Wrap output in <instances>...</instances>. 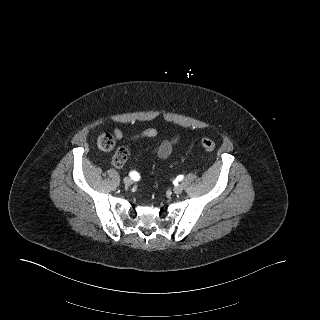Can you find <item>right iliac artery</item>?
Returning a JSON list of instances; mask_svg holds the SVG:
<instances>
[{
  "label": "right iliac artery",
  "instance_id": "right-iliac-artery-1",
  "mask_svg": "<svg viewBox=\"0 0 320 320\" xmlns=\"http://www.w3.org/2000/svg\"><path fill=\"white\" fill-rule=\"evenodd\" d=\"M130 177L133 178V179H137L138 178L137 172H131L130 173Z\"/></svg>",
  "mask_w": 320,
  "mask_h": 320
}]
</instances>
